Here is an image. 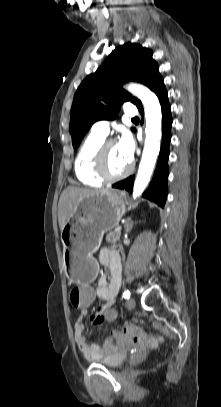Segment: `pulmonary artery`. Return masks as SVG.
Returning a JSON list of instances; mask_svg holds the SVG:
<instances>
[{
    "label": "pulmonary artery",
    "instance_id": "1",
    "mask_svg": "<svg viewBox=\"0 0 221 407\" xmlns=\"http://www.w3.org/2000/svg\"><path fill=\"white\" fill-rule=\"evenodd\" d=\"M125 114L129 117H135L138 114V110L134 105L128 104L125 108ZM92 132L102 136H107L109 133V122L106 120L96 122L92 126Z\"/></svg>",
    "mask_w": 221,
    "mask_h": 407
}]
</instances>
